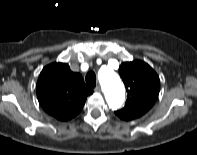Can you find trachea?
I'll list each match as a JSON object with an SVG mask.
<instances>
[{
  "label": "trachea",
  "instance_id": "3493384b",
  "mask_svg": "<svg viewBox=\"0 0 197 155\" xmlns=\"http://www.w3.org/2000/svg\"><path fill=\"white\" fill-rule=\"evenodd\" d=\"M85 80L90 87L96 86V75L94 72L91 71V72L87 73Z\"/></svg>",
  "mask_w": 197,
  "mask_h": 155
}]
</instances>
